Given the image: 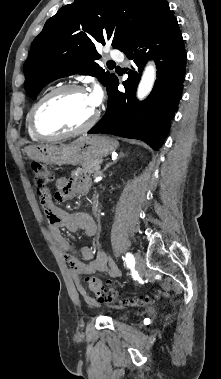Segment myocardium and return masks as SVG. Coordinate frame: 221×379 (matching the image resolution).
Segmentation results:
<instances>
[{
	"mask_svg": "<svg viewBox=\"0 0 221 379\" xmlns=\"http://www.w3.org/2000/svg\"><path fill=\"white\" fill-rule=\"evenodd\" d=\"M67 92H82V93H87L86 89L82 87L81 85L78 84H66L62 86H58L49 92H47L45 95H43L38 102L34 105L31 115H30V125L31 128L34 132V134L39 137L40 139H45V140H57V139H62L66 137H70L73 135H77L79 133H82L89 128H91L98 120L99 118V111L97 108H95V111L93 115L89 118L87 122H85L83 125L69 130L65 131L62 133H57V134H46L42 132L38 126V114L41 110V108L52 98L67 93Z\"/></svg>",
	"mask_w": 221,
	"mask_h": 379,
	"instance_id": "myocardium-1",
	"label": "myocardium"
}]
</instances>
